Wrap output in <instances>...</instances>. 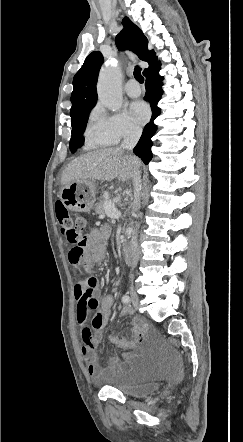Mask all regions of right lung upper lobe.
Returning a JSON list of instances; mask_svg holds the SVG:
<instances>
[{"mask_svg":"<svg viewBox=\"0 0 243 442\" xmlns=\"http://www.w3.org/2000/svg\"><path fill=\"white\" fill-rule=\"evenodd\" d=\"M123 25L124 29L116 36V45L119 50H132L139 59L148 62L149 67L144 70L143 73H145L158 62L155 52L148 50L147 38L128 17L124 18ZM102 63L101 52H92L74 76L70 110L72 122L82 113L91 111L95 106L97 102L96 82Z\"/></svg>","mask_w":243,"mask_h":442,"instance_id":"right-lung-upper-lobe-1","label":"right lung upper lobe"}]
</instances>
